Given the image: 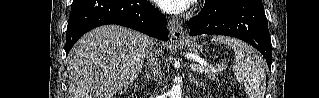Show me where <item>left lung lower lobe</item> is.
Listing matches in <instances>:
<instances>
[{
	"instance_id": "obj_1",
	"label": "left lung lower lobe",
	"mask_w": 319,
	"mask_h": 98,
	"mask_svg": "<svg viewBox=\"0 0 319 98\" xmlns=\"http://www.w3.org/2000/svg\"><path fill=\"white\" fill-rule=\"evenodd\" d=\"M188 27L191 36L220 34L248 42L263 54L271 69L272 45L261 0H205Z\"/></svg>"
}]
</instances>
